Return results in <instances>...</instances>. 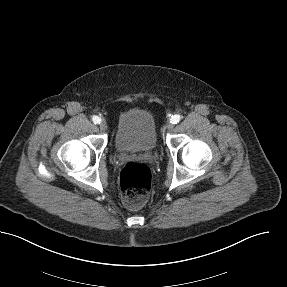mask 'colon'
<instances>
[{
  "mask_svg": "<svg viewBox=\"0 0 287 287\" xmlns=\"http://www.w3.org/2000/svg\"><path fill=\"white\" fill-rule=\"evenodd\" d=\"M150 168L141 162L127 163L120 173V185L124 204L130 209L141 207L151 190Z\"/></svg>",
  "mask_w": 287,
  "mask_h": 287,
  "instance_id": "5ec220e1",
  "label": "colon"
}]
</instances>
